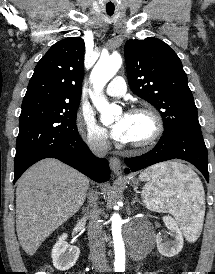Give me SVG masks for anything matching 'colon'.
Listing matches in <instances>:
<instances>
[{"instance_id": "5ec220e1", "label": "colon", "mask_w": 215, "mask_h": 274, "mask_svg": "<svg viewBox=\"0 0 215 274\" xmlns=\"http://www.w3.org/2000/svg\"><path fill=\"white\" fill-rule=\"evenodd\" d=\"M178 272H179V274H185L184 271H182V270H179Z\"/></svg>"}]
</instances>
